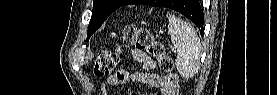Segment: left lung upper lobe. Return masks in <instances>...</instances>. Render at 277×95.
<instances>
[{
	"label": "left lung upper lobe",
	"instance_id": "left-lung-upper-lobe-1",
	"mask_svg": "<svg viewBox=\"0 0 277 95\" xmlns=\"http://www.w3.org/2000/svg\"><path fill=\"white\" fill-rule=\"evenodd\" d=\"M131 0H94L91 20L88 25L87 39L104 23L107 17ZM181 1V0H180ZM179 1V2H180ZM173 0L169 6H172ZM161 0H152L150 6H160Z\"/></svg>",
	"mask_w": 277,
	"mask_h": 95
}]
</instances>
